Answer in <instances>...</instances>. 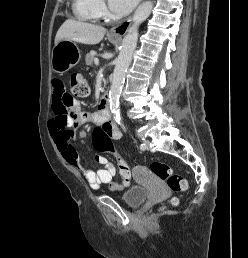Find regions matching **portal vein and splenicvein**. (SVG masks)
<instances>
[{
  "instance_id": "obj_1",
  "label": "portal vein and splenic vein",
  "mask_w": 248,
  "mask_h": 258,
  "mask_svg": "<svg viewBox=\"0 0 248 258\" xmlns=\"http://www.w3.org/2000/svg\"><path fill=\"white\" fill-rule=\"evenodd\" d=\"M94 62H95V65H96V66L99 65V60H98V58H95Z\"/></svg>"
}]
</instances>
